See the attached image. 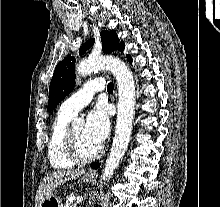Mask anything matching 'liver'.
I'll list each match as a JSON object with an SVG mask.
<instances>
[{
    "mask_svg": "<svg viewBox=\"0 0 220 207\" xmlns=\"http://www.w3.org/2000/svg\"><path fill=\"white\" fill-rule=\"evenodd\" d=\"M85 173L84 169L81 170H63L55 171L45 176L39 185L37 195L35 198V207H40L42 202L50 197L53 191L62 183L67 180L79 177Z\"/></svg>",
    "mask_w": 220,
    "mask_h": 207,
    "instance_id": "6515ba94",
    "label": "liver"
}]
</instances>
